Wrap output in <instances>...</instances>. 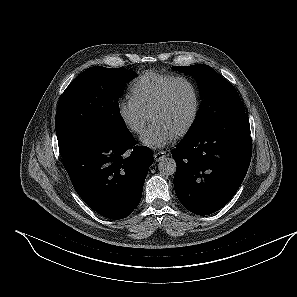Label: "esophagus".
I'll return each mask as SVG.
<instances>
[{"instance_id": "esophagus-1", "label": "esophagus", "mask_w": 297, "mask_h": 297, "mask_svg": "<svg viewBox=\"0 0 297 297\" xmlns=\"http://www.w3.org/2000/svg\"><path fill=\"white\" fill-rule=\"evenodd\" d=\"M166 156V152L165 151H159V152H155L154 153V160L156 162L160 161L161 159H163Z\"/></svg>"}]
</instances>
